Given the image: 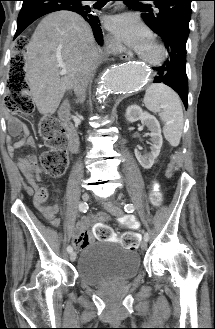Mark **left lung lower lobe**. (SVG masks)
Listing matches in <instances>:
<instances>
[{"label": "left lung lower lobe", "instance_id": "left-lung-lower-lobe-1", "mask_svg": "<svg viewBox=\"0 0 215 329\" xmlns=\"http://www.w3.org/2000/svg\"><path fill=\"white\" fill-rule=\"evenodd\" d=\"M169 52L168 59L157 72L154 83H164L174 89L188 106V79L186 74V43L188 36L173 27H164L157 33Z\"/></svg>", "mask_w": 215, "mask_h": 329}]
</instances>
